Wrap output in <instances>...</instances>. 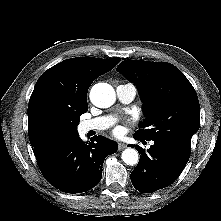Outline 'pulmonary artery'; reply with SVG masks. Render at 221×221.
<instances>
[{"instance_id":"pulmonary-artery-1","label":"pulmonary artery","mask_w":221,"mask_h":221,"mask_svg":"<svg viewBox=\"0 0 221 221\" xmlns=\"http://www.w3.org/2000/svg\"><path fill=\"white\" fill-rule=\"evenodd\" d=\"M117 97L120 102L128 104L133 101L136 96V87L131 84H121L116 88ZM115 122L112 116H101L90 120H85L80 124L83 132L91 130L101 131L109 128Z\"/></svg>"}]
</instances>
